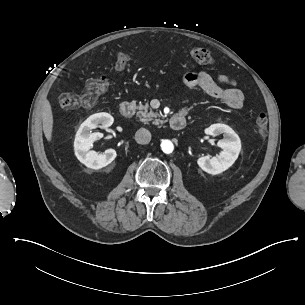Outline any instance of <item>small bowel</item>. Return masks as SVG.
<instances>
[{"label":"small bowel","mask_w":305,"mask_h":305,"mask_svg":"<svg viewBox=\"0 0 305 305\" xmlns=\"http://www.w3.org/2000/svg\"><path fill=\"white\" fill-rule=\"evenodd\" d=\"M182 81L190 88L202 89L231 109L238 110L243 106L242 91L237 87L235 80L227 75H219L215 80L206 71L190 72L183 75ZM181 112L187 113L188 109L184 108Z\"/></svg>","instance_id":"1"}]
</instances>
